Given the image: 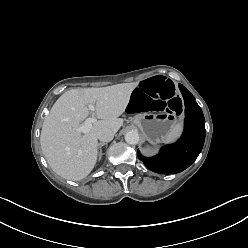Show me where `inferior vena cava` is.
<instances>
[{
	"label": "inferior vena cava",
	"mask_w": 248,
	"mask_h": 248,
	"mask_svg": "<svg viewBox=\"0 0 248 248\" xmlns=\"http://www.w3.org/2000/svg\"><path fill=\"white\" fill-rule=\"evenodd\" d=\"M115 132L110 128H102L97 133V138L102 142H110L114 138Z\"/></svg>",
	"instance_id": "602c4592"
}]
</instances>
